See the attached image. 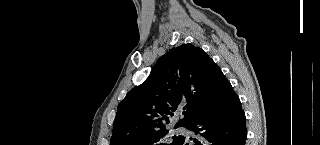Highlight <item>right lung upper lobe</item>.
Segmentation results:
<instances>
[{
    "instance_id": "right-lung-upper-lobe-1",
    "label": "right lung upper lobe",
    "mask_w": 320,
    "mask_h": 145,
    "mask_svg": "<svg viewBox=\"0 0 320 145\" xmlns=\"http://www.w3.org/2000/svg\"><path fill=\"white\" fill-rule=\"evenodd\" d=\"M223 75L201 48L188 43L171 49L119 104L110 145H132L165 129L177 108L183 118L175 127L185 126L209 108Z\"/></svg>"
}]
</instances>
